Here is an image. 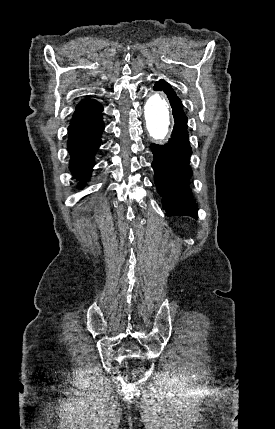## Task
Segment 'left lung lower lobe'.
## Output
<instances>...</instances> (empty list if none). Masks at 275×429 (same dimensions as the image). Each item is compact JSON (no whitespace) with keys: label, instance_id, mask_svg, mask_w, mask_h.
<instances>
[{"label":"left lung lower lobe","instance_id":"1","mask_svg":"<svg viewBox=\"0 0 275 429\" xmlns=\"http://www.w3.org/2000/svg\"><path fill=\"white\" fill-rule=\"evenodd\" d=\"M154 90H162L167 94L175 121L169 144L150 145L154 155V181L158 193L163 197V208L167 216L186 215L197 218V204L189 189L192 175L189 159L192 152L182 102L164 80L157 82Z\"/></svg>","mask_w":275,"mask_h":429}]
</instances>
